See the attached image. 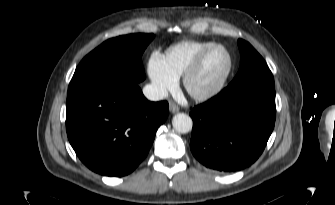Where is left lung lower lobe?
I'll list each match as a JSON object with an SVG mask.
<instances>
[{
  "instance_id": "obj_1",
  "label": "left lung lower lobe",
  "mask_w": 335,
  "mask_h": 205,
  "mask_svg": "<svg viewBox=\"0 0 335 205\" xmlns=\"http://www.w3.org/2000/svg\"><path fill=\"white\" fill-rule=\"evenodd\" d=\"M190 149L207 168L242 170L263 152L276 118L275 87L262 83L228 85L194 107Z\"/></svg>"
}]
</instances>
